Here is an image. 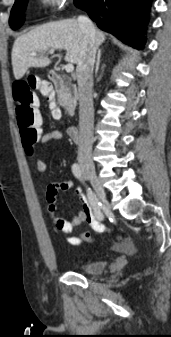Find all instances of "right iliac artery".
Returning a JSON list of instances; mask_svg holds the SVG:
<instances>
[{"instance_id":"1","label":"right iliac artery","mask_w":171,"mask_h":337,"mask_svg":"<svg viewBox=\"0 0 171 337\" xmlns=\"http://www.w3.org/2000/svg\"><path fill=\"white\" fill-rule=\"evenodd\" d=\"M72 172L75 175V177H77L79 180L83 181L82 171H81L80 166L77 163H74L72 165ZM87 196H88L90 204L92 205V207L95 211V215H96L97 219L103 220L104 215L101 212L102 204L98 201L96 195L91 191L90 188H87Z\"/></svg>"}]
</instances>
